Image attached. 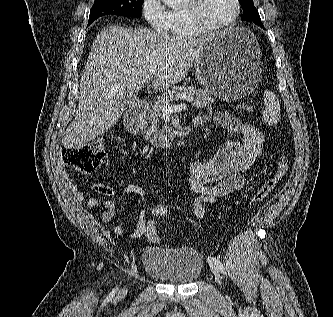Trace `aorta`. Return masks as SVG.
Segmentation results:
<instances>
[{"mask_svg":"<svg viewBox=\"0 0 333 317\" xmlns=\"http://www.w3.org/2000/svg\"><path fill=\"white\" fill-rule=\"evenodd\" d=\"M162 1L170 7H174L179 3L180 0H162Z\"/></svg>","mask_w":333,"mask_h":317,"instance_id":"1","label":"aorta"}]
</instances>
